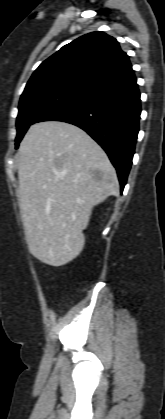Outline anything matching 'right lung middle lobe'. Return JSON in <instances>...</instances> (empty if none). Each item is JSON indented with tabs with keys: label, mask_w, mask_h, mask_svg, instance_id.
I'll use <instances>...</instances> for the list:
<instances>
[{
	"label": "right lung middle lobe",
	"mask_w": 165,
	"mask_h": 419,
	"mask_svg": "<svg viewBox=\"0 0 165 419\" xmlns=\"http://www.w3.org/2000/svg\"><path fill=\"white\" fill-rule=\"evenodd\" d=\"M85 94L87 93L82 90L60 86L36 89L22 94L16 122L17 137L15 148H18L30 125L38 122L46 113Z\"/></svg>",
	"instance_id": "1"
}]
</instances>
